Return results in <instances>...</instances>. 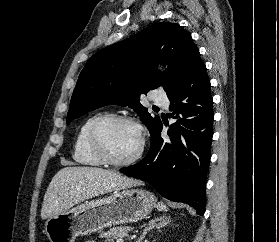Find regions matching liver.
I'll use <instances>...</instances> for the list:
<instances>
[{
	"instance_id": "6515ba94",
	"label": "liver",
	"mask_w": 279,
	"mask_h": 242,
	"mask_svg": "<svg viewBox=\"0 0 279 242\" xmlns=\"http://www.w3.org/2000/svg\"><path fill=\"white\" fill-rule=\"evenodd\" d=\"M137 180L96 167H65L52 178L44 195L42 219L67 211L92 197L140 185Z\"/></svg>"
}]
</instances>
